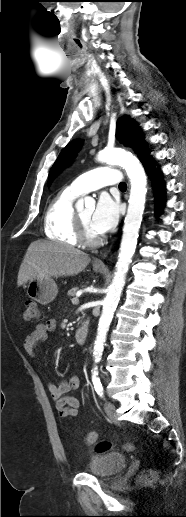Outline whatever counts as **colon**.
I'll list each match as a JSON object with an SVG mask.
<instances>
[{
    "mask_svg": "<svg viewBox=\"0 0 186 517\" xmlns=\"http://www.w3.org/2000/svg\"><path fill=\"white\" fill-rule=\"evenodd\" d=\"M23 318L28 321L36 320L39 318V309H38V305L35 301L29 300V301L25 302ZM94 437H95L94 433L89 432L86 437L87 444H93L95 442ZM113 446H114V444L112 442L103 440V441H99L96 444V450L99 453H103V452H107L110 449H112ZM122 447H123V449H125L127 451L133 450V448H134L133 445L130 443H125L122 445ZM156 478H157V474L154 471H149L141 476V480L143 482H149V483L155 481Z\"/></svg>",
    "mask_w": 186,
    "mask_h": 517,
    "instance_id": "1",
    "label": "colon"
}]
</instances>
